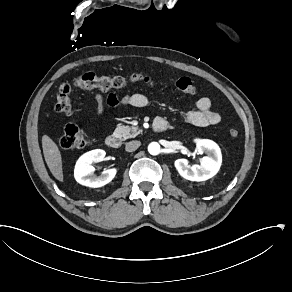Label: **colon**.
<instances>
[{
  "mask_svg": "<svg viewBox=\"0 0 292 292\" xmlns=\"http://www.w3.org/2000/svg\"><path fill=\"white\" fill-rule=\"evenodd\" d=\"M137 82H145L151 86L156 84L154 78L150 74L140 71H133L125 76H99L91 72L85 73L60 86L55 100V112L64 117L72 113L73 103L71 94L74 89H121L128 84ZM175 87L186 94H195L197 91L196 85L187 76L179 77L175 82ZM229 134L231 137L236 138L239 135V130L236 127H232L229 130ZM59 145L65 150H77L86 147L87 141L80 128L69 125L64 129L59 140Z\"/></svg>",
  "mask_w": 292,
  "mask_h": 292,
  "instance_id": "1",
  "label": "colon"
}]
</instances>
